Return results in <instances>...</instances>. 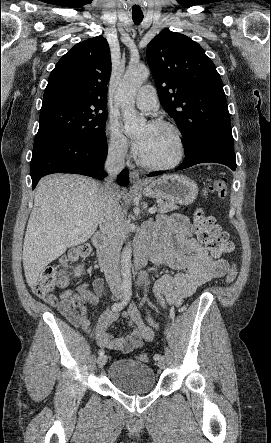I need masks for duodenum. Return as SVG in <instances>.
Segmentation results:
<instances>
[{"mask_svg":"<svg viewBox=\"0 0 271 443\" xmlns=\"http://www.w3.org/2000/svg\"><path fill=\"white\" fill-rule=\"evenodd\" d=\"M93 245L96 249L97 258L102 271L106 274H111L115 268L117 261V251L115 241L113 239H107L103 235H96L93 238ZM146 260V254H140L136 263L138 266H142Z\"/></svg>","mask_w":271,"mask_h":443,"instance_id":"1","label":"duodenum"}]
</instances>
